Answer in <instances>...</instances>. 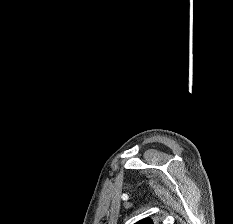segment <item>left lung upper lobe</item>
Here are the masks:
<instances>
[{
    "label": "left lung upper lobe",
    "instance_id": "left-lung-upper-lobe-1",
    "mask_svg": "<svg viewBox=\"0 0 233 224\" xmlns=\"http://www.w3.org/2000/svg\"><path fill=\"white\" fill-rule=\"evenodd\" d=\"M135 224H154V222L152 221V219L146 218V219H142V220L138 221Z\"/></svg>",
    "mask_w": 233,
    "mask_h": 224
}]
</instances>
